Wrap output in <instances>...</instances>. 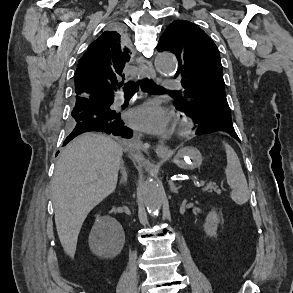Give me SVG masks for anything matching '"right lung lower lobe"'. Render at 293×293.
Segmentation results:
<instances>
[{"instance_id": "98d812e1", "label": "right lung lower lobe", "mask_w": 293, "mask_h": 293, "mask_svg": "<svg viewBox=\"0 0 293 293\" xmlns=\"http://www.w3.org/2000/svg\"><path fill=\"white\" fill-rule=\"evenodd\" d=\"M113 100L114 97L105 96L76 97L71 113L74 119V129L67 136L63 145L77 135L88 131L131 137L132 130L124 126L116 111L110 109Z\"/></svg>"}]
</instances>
